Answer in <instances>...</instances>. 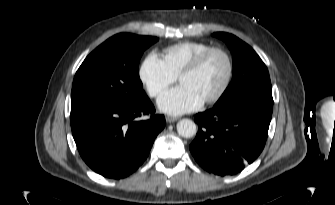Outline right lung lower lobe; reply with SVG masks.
Masks as SVG:
<instances>
[{"label": "right lung lower lobe", "mask_w": 335, "mask_h": 205, "mask_svg": "<svg viewBox=\"0 0 335 205\" xmlns=\"http://www.w3.org/2000/svg\"><path fill=\"white\" fill-rule=\"evenodd\" d=\"M150 115L148 120H138ZM165 127V117L145 95L131 103H88L71 107V129L82 159L113 179L133 173Z\"/></svg>", "instance_id": "obj_1"}]
</instances>
